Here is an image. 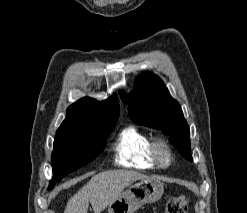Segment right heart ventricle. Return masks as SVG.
Masks as SVG:
<instances>
[{"label":"right heart ventricle","instance_id":"e07e8e85","mask_svg":"<svg viewBox=\"0 0 247 213\" xmlns=\"http://www.w3.org/2000/svg\"><path fill=\"white\" fill-rule=\"evenodd\" d=\"M152 138L137 127L127 126L117 135L114 143L118 165L141 171L159 168L151 155Z\"/></svg>","mask_w":247,"mask_h":213}]
</instances>
